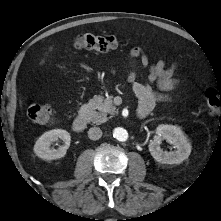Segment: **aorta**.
Segmentation results:
<instances>
[{
    "mask_svg": "<svg viewBox=\"0 0 221 221\" xmlns=\"http://www.w3.org/2000/svg\"><path fill=\"white\" fill-rule=\"evenodd\" d=\"M113 137L123 142L128 139V132L124 128L117 127L113 130Z\"/></svg>",
    "mask_w": 221,
    "mask_h": 221,
    "instance_id": "aorta-1",
    "label": "aorta"
}]
</instances>
